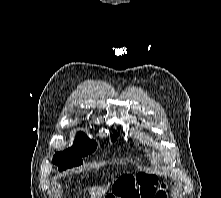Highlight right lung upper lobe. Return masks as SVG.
<instances>
[{
    "mask_svg": "<svg viewBox=\"0 0 221 198\" xmlns=\"http://www.w3.org/2000/svg\"><path fill=\"white\" fill-rule=\"evenodd\" d=\"M78 138H87V136L85 134H83V133H79Z\"/></svg>",
    "mask_w": 221,
    "mask_h": 198,
    "instance_id": "right-lung-upper-lobe-1",
    "label": "right lung upper lobe"
}]
</instances>
